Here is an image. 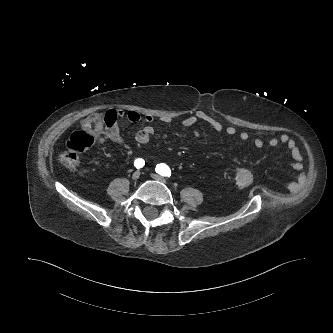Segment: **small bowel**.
Returning <instances> with one entry per match:
<instances>
[{"instance_id": "obj_1", "label": "small bowel", "mask_w": 333, "mask_h": 333, "mask_svg": "<svg viewBox=\"0 0 333 333\" xmlns=\"http://www.w3.org/2000/svg\"><path fill=\"white\" fill-rule=\"evenodd\" d=\"M117 114L119 116H124V112L122 110H118ZM126 118L132 123H138L140 121H144L146 125L140 129L135 136V140L138 144L145 145L148 144L152 135L155 132L153 127V122L155 121V117L152 114L141 115L139 112L130 110L126 113ZM160 120L163 123H169L170 120L166 116L160 117ZM198 122L207 123L214 131L217 133H224L228 136H238L242 141H248L250 136L247 132L242 131L238 132L237 129L233 126L224 125L221 121L216 119L215 117L205 113V112H197L193 115L186 117L181 125L185 128H189L194 126ZM108 138L124 147L125 149H130V145L126 142V140L122 137L120 130L117 126H115L109 133ZM100 142L104 141V138L99 140ZM265 143H267L270 147H276L279 144L285 145L290 152L292 157V166L296 171H302L303 169V158L300 153L299 147L296 141L291 138L288 134L283 133L279 136H271L267 138V140H263L260 137H256L253 139V145L260 149L264 147ZM302 177L299 178L297 182L292 183L291 187L296 188L301 182Z\"/></svg>"}]
</instances>
